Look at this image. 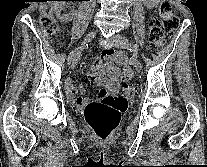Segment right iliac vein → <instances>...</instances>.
Wrapping results in <instances>:
<instances>
[{
  "instance_id": "right-iliac-vein-1",
  "label": "right iliac vein",
  "mask_w": 207,
  "mask_h": 167,
  "mask_svg": "<svg viewBox=\"0 0 207 167\" xmlns=\"http://www.w3.org/2000/svg\"><path fill=\"white\" fill-rule=\"evenodd\" d=\"M96 36V32L95 31H92L90 32L89 34L86 35V37L84 38L82 44H81V47L80 49L77 51V53L75 54V56L73 57V59L71 60L70 62V66L71 68H74L77 63H78V60H79V54H80V51L82 50V48L89 42H91Z\"/></svg>"
}]
</instances>
